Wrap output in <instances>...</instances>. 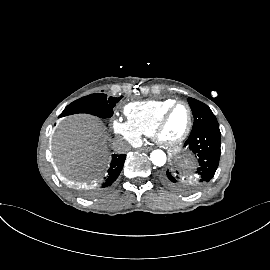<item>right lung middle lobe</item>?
<instances>
[{"instance_id": "dd1d6c3e", "label": "right lung middle lobe", "mask_w": 270, "mask_h": 270, "mask_svg": "<svg viewBox=\"0 0 270 270\" xmlns=\"http://www.w3.org/2000/svg\"><path fill=\"white\" fill-rule=\"evenodd\" d=\"M122 96L118 98L109 97L107 95L91 94L82 97L71 104H69L59 117H63L75 113H88L100 118H109L113 115V108Z\"/></svg>"}]
</instances>
